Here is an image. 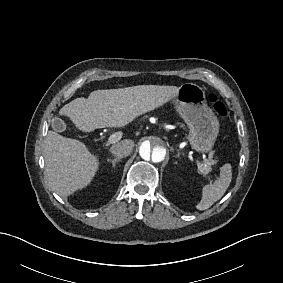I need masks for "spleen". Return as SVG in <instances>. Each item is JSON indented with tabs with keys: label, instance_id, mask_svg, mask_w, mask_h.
Listing matches in <instances>:
<instances>
[{
	"label": "spleen",
	"instance_id": "3e777b00",
	"mask_svg": "<svg viewBox=\"0 0 283 283\" xmlns=\"http://www.w3.org/2000/svg\"><path fill=\"white\" fill-rule=\"evenodd\" d=\"M232 180L231 164H224L220 169V177L213 183L203 187L202 199L196 208L206 210L221 199Z\"/></svg>",
	"mask_w": 283,
	"mask_h": 283
}]
</instances>
